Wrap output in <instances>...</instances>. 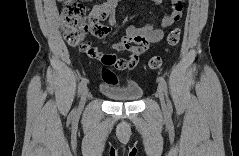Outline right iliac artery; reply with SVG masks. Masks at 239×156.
<instances>
[{
  "instance_id": "right-iliac-artery-1",
  "label": "right iliac artery",
  "mask_w": 239,
  "mask_h": 156,
  "mask_svg": "<svg viewBox=\"0 0 239 156\" xmlns=\"http://www.w3.org/2000/svg\"><path fill=\"white\" fill-rule=\"evenodd\" d=\"M88 80L86 78H84L80 83H79V87H78V94L80 95L82 93V91L84 90V88L87 85Z\"/></svg>"
}]
</instances>
